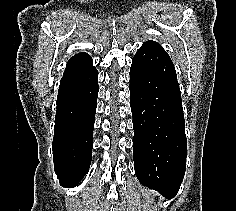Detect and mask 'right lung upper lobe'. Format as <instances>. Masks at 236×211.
Returning a JSON list of instances; mask_svg holds the SVG:
<instances>
[{
    "mask_svg": "<svg viewBox=\"0 0 236 211\" xmlns=\"http://www.w3.org/2000/svg\"><path fill=\"white\" fill-rule=\"evenodd\" d=\"M91 68H93L92 58L87 53H78L68 61L63 76L80 73Z\"/></svg>",
    "mask_w": 236,
    "mask_h": 211,
    "instance_id": "right-lung-upper-lobe-1",
    "label": "right lung upper lobe"
}]
</instances>
